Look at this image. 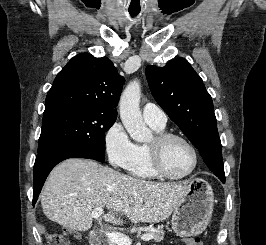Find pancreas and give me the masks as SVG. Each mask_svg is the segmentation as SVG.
<instances>
[{
    "label": "pancreas",
    "mask_w": 266,
    "mask_h": 245,
    "mask_svg": "<svg viewBox=\"0 0 266 245\" xmlns=\"http://www.w3.org/2000/svg\"><path fill=\"white\" fill-rule=\"evenodd\" d=\"M143 233L144 235H153L155 243H161L165 235V231H157V229H146ZM110 245H115V243H110Z\"/></svg>",
    "instance_id": "cf45deb5"
}]
</instances>
